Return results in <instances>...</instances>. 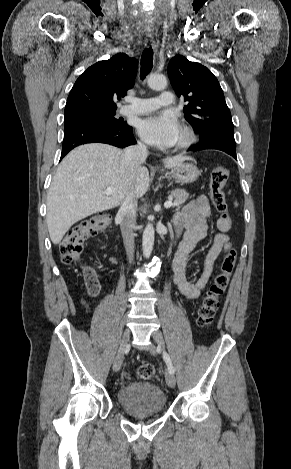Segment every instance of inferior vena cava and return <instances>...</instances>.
Masks as SVG:
<instances>
[{"label": "inferior vena cava", "instance_id": "602c4592", "mask_svg": "<svg viewBox=\"0 0 291 469\" xmlns=\"http://www.w3.org/2000/svg\"><path fill=\"white\" fill-rule=\"evenodd\" d=\"M148 156L147 147L139 142L137 145L127 147L123 152L124 162L131 168L136 169ZM137 198L130 193L121 204L117 217L121 223V233L129 261L133 259L134 253V227L136 223Z\"/></svg>", "mask_w": 291, "mask_h": 469}]
</instances>
